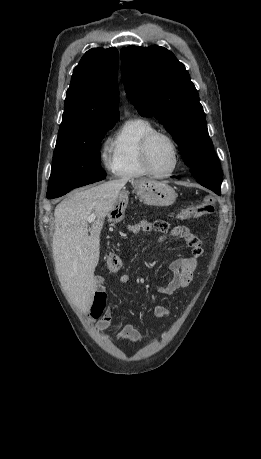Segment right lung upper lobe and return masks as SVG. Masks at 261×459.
<instances>
[{
	"mask_svg": "<svg viewBox=\"0 0 261 459\" xmlns=\"http://www.w3.org/2000/svg\"><path fill=\"white\" fill-rule=\"evenodd\" d=\"M116 48H93L74 68L66 93L58 139L119 118Z\"/></svg>",
	"mask_w": 261,
	"mask_h": 459,
	"instance_id": "obj_1",
	"label": "right lung upper lobe"
}]
</instances>
